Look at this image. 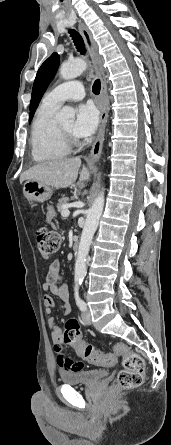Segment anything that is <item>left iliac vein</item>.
I'll return each mask as SVG.
<instances>
[{
	"label": "left iliac vein",
	"mask_w": 171,
	"mask_h": 445,
	"mask_svg": "<svg viewBox=\"0 0 171 445\" xmlns=\"http://www.w3.org/2000/svg\"><path fill=\"white\" fill-rule=\"evenodd\" d=\"M82 320L85 324L90 325L92 323L91 321V314L89 309H86L83 313H82Z\"/></svg>",
	"instance_id": "1"
}]
</instances>
